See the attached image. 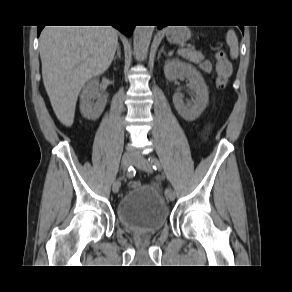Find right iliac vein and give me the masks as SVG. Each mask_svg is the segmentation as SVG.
<instances>
[{"instance_id":"right-iliac-vein-1","label":"right iliac vein","mask_w":292,"mask_h":292,"mask_svg":"<svg viewBox=\"0 0 292 292\" xmlns=\"http://www.w3.org/2000/svg\"><path fill=\"white\" fill-rule=\"evenodd\" d=\"M133 163V156L130 155V154H124L122 156V159H121V165L123 167V169H127L131 166V164ZM119 188L120 186L118 187L117 186V182H115L112 186V191L114 193H117L119 191Z\"/></svg>"}]
</instances>
